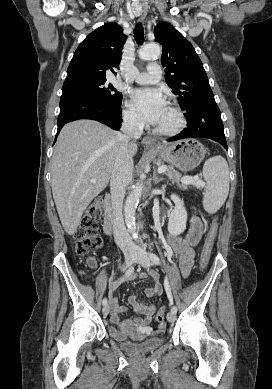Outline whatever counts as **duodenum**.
Wrapping results in <instances>:
<instances>
[{"instance_id":"duodenum-1","label":"duodenum","mask_w":272,"mask_h":389,"mask_svg":"<svg viewBox=\"0 0 272 389\" xmlns=\"http://www.w3.org/2000/svg\"><path fill=\"white\" fill-rule=\"evenodd\" d=\"M103 205L105 209L103 229L107 235H111L113 229V212L111 207V196L109 194L105 195L103 199Z\"/></svg>"}]
</instances>
